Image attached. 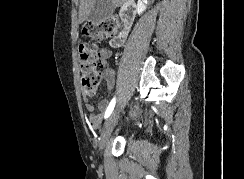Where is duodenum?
<instances>
[{
    "label": "duodenum",
    "mask_w": 244,
    "mask_h": 179,
    "mask_svg": "<svg viewBox=\"0 0 244 179\" xmlns=\"http://www.w3.org/2000/svg\"><path fill=\"white\" fill-rule=\"evenodd\" d=\"M136 14V3L134 0H124L119 10L120 17L126 22L134 19Z\"/></svg>",
    "instance_id": "1"
}]
</instances>
